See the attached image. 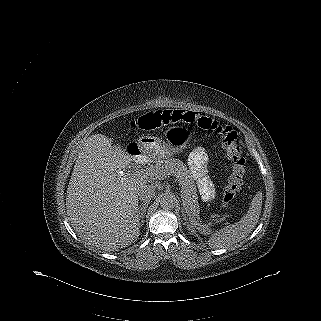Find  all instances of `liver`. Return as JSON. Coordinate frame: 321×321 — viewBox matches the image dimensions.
<instances>
[{
	"mask_svg": "<svg viewBox=\"0 0 321 321\" xmlns=\"http://www.w3.org/2000/svg\"><path fill=\"white\" fill-rule=\"evenodd\" d=\"M134 158L102 134L83 143L69 181L66 208L73 229L89 245L117 251L139 237L138 191L147 180L120 171Z\"/></svg>",
	"mask_w": 321,
	"mask_h": 321,
	"instance_id": "obj_1",
	"label": "liver"
}]
</instances>
